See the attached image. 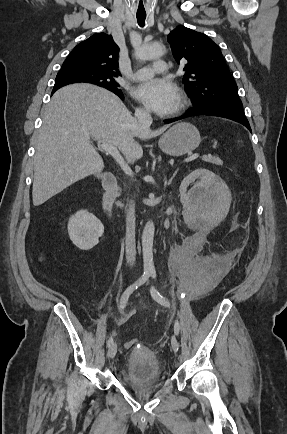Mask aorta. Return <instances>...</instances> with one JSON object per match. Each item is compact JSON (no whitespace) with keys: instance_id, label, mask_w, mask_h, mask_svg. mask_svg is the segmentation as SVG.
Listing matches in <instances>:
<instances>
[{"instance_id":"1","label":"aorta","mask_w":287,"mask_h":434,"mask_svg":"<svg viewBox=\"0 0 287 434\" xmlns=\"http://www.w3.org/2000/svg\"><path fill=\"white\" fill-rule=\"evenodd\" d=\"M165 53V48L160 43H152L144 45L135 51L138 59L146 61L161 57ZM154 223L149 221L146 223L142 234V252L144 273L151 274L155 271L153 262V238H154Z\"/></svg>"}]
</instances>
